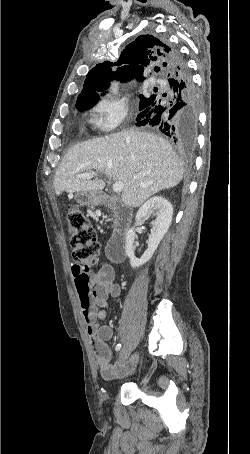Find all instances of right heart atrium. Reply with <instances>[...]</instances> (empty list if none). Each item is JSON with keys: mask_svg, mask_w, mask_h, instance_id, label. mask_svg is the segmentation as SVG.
Listing matches in <instances>:
<instances>
[{"mask_svg": "<svg viewBox=\"0 0 250 454\" xmlns=\"http://www.w3.org/2000/svg\"><path fill=\"white\" fill-rule=\"evenodd\" d=\"M128 113L126 102L117 99L107 100L98 104L94 123L101 131L111 133L122 126Z\"/></svg>", "mask_w": 250, "mask_h": 454, "instance_id": "obj_1", "label": "right heart atrium"}]
</instances>
